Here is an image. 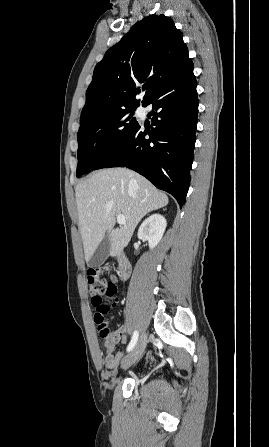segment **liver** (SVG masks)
Instances as JSON below:
<instances>
[{"label": "liver", "instance_id": "liver-1", "mask_svg": "<svg viewBox=\"0 0 269 447\" xmlns=\"http://www.w3.org/2000/svg\"><path fill=\"white\" fill-rule=\"evenodd\" d=\"M75 192L86 261L106 233L111 243L110 255H120L140 220L168 204L166 194L127 168L98 170L77 184ZM120 214L125 216L126 224L114 227Z\"/></svg>", "mask_w": 269, "mask_h": 447}]
</instances>
